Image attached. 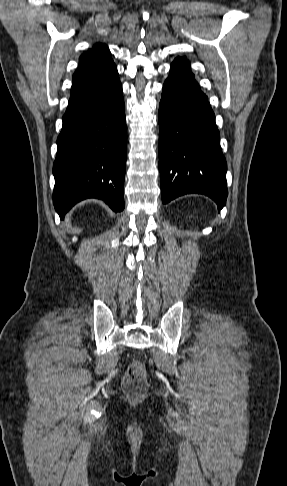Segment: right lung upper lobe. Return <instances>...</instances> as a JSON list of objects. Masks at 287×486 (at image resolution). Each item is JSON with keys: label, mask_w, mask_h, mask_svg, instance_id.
Masks as SVG:
<instances>
[{"label": "right lung upper lobe", "mask_w": 287, "mask_h": 486, "mask_svg": "<svg viewBox=\"0 0 287 486\" xmlns=\"http://www.w3.org/2000/svg\"><path fill=\"white\" fill-rule=\"evenodd\" d=\"M118 77L116 65L105 44L97 43L79 58V67L73 74L71 95L108 83Z\"/></svg>", "instance_id": "1"}]
</instances>
